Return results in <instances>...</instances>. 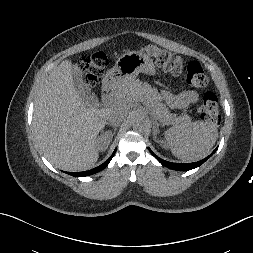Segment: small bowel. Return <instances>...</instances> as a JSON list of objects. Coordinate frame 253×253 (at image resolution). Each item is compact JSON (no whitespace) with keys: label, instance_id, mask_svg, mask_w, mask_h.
Listing matches in <instances>:
<instances>
[{"label":"small bowel","instance_id":"small-bowel-1","mask_svg":"<svg viewBox=\"0 0 253 253\" xmlns=\"http://www.w3.org/2000/svg\"><path fill=\"white\" fill-rule=\"evenodd\" d=\"M163 97L168 105L174 108H186L198 100V94L193 90L183 91L176 95L164 92Z\"/></svg>","mask_w":253,"mask_h":253}]
</instances>
